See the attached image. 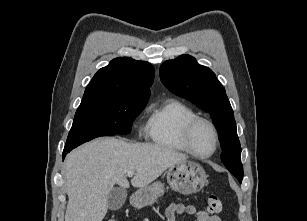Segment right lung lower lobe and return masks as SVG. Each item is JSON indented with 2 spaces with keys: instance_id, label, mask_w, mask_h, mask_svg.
Listing matches in <instances>:
<instances>
[{
  "instance_id": "obj_1",
  "label": "right lung lower lobe",
  "mask_w": 307,
  "mask_h": 221,
  "mask_svg": "<svg viewBox=\"0 0 307 221\" xmlns=\"http://www.w3.org/2000/svg\"><path fill=\"white\" fill-rule=\"evenodd\" d=\"M67 153H68V152H63V159H64V157L66 156Z\"/></svg>"
}]
</instances>
